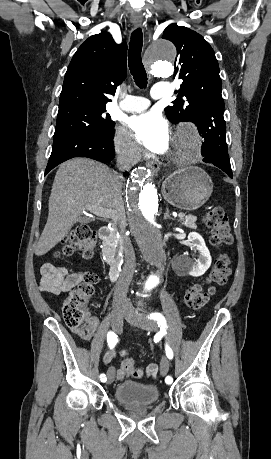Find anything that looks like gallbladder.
Returning a JSON list of instances; mask_svg holds the SVG:
<instances>
[{
	"mask_svg": "<svg viewBox=\"0 0 271 459\" xmlns=\"http://www.w3.org/2000/svg\"><path fill=\"white\" fill-rule=\"evenodd\" d=\"M80 222H85V224H87L88 220H85V218H83V220H80Z\"/></svg>",
	"mask_w": 271,
	"mask_h": 459,
	"instance_id": "1",
	"label": "gallbladder"
}]
</instances>
